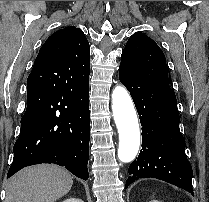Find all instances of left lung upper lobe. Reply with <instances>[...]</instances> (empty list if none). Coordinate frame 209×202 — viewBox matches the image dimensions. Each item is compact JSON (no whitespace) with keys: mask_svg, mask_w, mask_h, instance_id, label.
I'll return each instance as SVG.
<instances>
[{"mask_svg":"<svg viewBox=\"0 0 209 202\" xmlns=\"http://www.w3.org/2000/svg\"><path fill=\"white\" fill-rule=\"evenodd\" d=\"M119 69L169 87L166 58L162 50L141 32L129 38L121 55Z\"/></svg>","mask_w":209,"mask_h":202,"instance_id":"left-lung-upper-lobe-1","label":"left lung upper lobe"}]
</instances>
